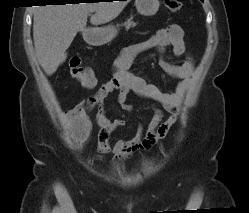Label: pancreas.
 I'll list each match as a JSON object with an SVG mask.
<instances>
[{"label":"pancreas","mask_w":249,"mask_h":213,"mask_svg":"<svg viewBox=\"0 0 249 213\" xmlns=\"http://www.w3.org/2000/svg\"><path fill=\"white\" fill-rule=\"evenodd\" d=\"M120 26H124L127 30L130 29L131 27H135L136 23L133 21V16L126 19V21L124 23H122L121 25H118V27H120Z\"/></svg>","instance_id":"obj_1"}]
</instances>
